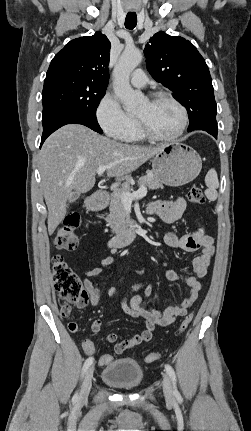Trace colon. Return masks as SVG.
I'll list each match as a JSON object with an SVG mask.
<instances>
[{
    "label": "colon",
    "mask_w": 251,
    "mask_h": 431,
    "mask_svg": "<svg viewBox=\"0 0 251 431\" xmlns=\"http://www.w3.org/2000/svg\"><path fill=\"white\" fill-rule=\"evenodd\" d=\"M189 201L196 205H202L205 203V196L202 189L193 185L189 189L188 193ZM80 224V217L77 214H71L67 216L58 228L55 236V245L58 249L62 250H74L78 244L77 229ZM52 275L54 280V286L60 297L65 301L61 307V315L68 316L72 311V305L77 307H84L88 302V294L84 290L79 277L70 268L67 262L60 256H55L52 260ZM192 314L187 315L180 325V332H185L192 321ZM69 330L77 328L75 322L68 324ZM81 349L85 353L86 358L96 356V346L94 342L86 338L83 340ZM162 354L160 352H154L146 356L145 361L152 363L160 359ZM98 362L95 367L98 370L104 369L105 366H109L115 355L113 353H97Z\"/></svg>",
    "instance_id": "1"
}]
</instances>
